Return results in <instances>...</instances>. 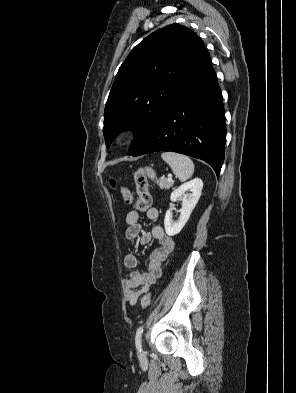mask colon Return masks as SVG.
Instances as JSON below:
<instances>
[{
  "label": "colon",
  "instance_id": "colon-1",
  "mask_svg": "<svg viewBox=\"0 0 296 393\" xmlns=\"http://www.w3.org/2000/svg\"><path fill=\"white\" fill-rule=\"evenodd\" d=\"M155 177V173L150 167L138 169L134 174V182L137 191V197L126 186H121V195L126 204L131 205L138 212L147 211L151 206V195L149 191V180ZM112 185L116 183L112 181ZM151 301V295L145 294L141 299L142 308H147Z\"/></svg>",
  "mask_w": 296,
  "mask_h": 393
}]
</instances>
